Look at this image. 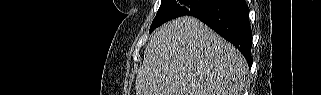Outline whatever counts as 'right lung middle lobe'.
<instances>
[{"label": "right lung middle lobe", "instance_id": "1", "mask_svg": "<svg viewBox=\"0 0 321 95\" xmlns=\"http://www.w3.org/2000/svg\"><path fill=\"white\" fill-rule=\"evenodd\" d=\"M210 1L211 0H161L160 8L151 24L150 32L171 19L191 14Z\"/></svg>", "mask_w": 321, "mask_h": 95}]
</instances>
